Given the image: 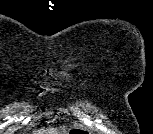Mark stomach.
I'll use <instances>...</instances> for the list:
<instances>
[{"label": "stomach", "mask_w": 153, "mask_h": 134, "mask_svg": "<svg viewBox=\"0 0 153 134\" xmlns=\"http://www.w3.org/2000/svg\"><path fill=\"white\" fill-rule=\"evenodd\" d=\"M83 130L79 129V128H72L69 130V134H78V133H82Z\"/></svg>", "instance_id": "obj_1"}]
</instances>
